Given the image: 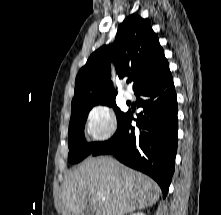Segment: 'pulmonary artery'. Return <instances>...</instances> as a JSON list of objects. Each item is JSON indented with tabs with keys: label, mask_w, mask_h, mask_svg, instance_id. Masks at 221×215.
Wrapping results in <instances>:
<instances>
[{
	"label": "pulmonary artery",
	"mask_w": 221,
	"mask_h": 215,
	"mask_svg": "<svg viewBox=\"0 0 221 215\" xmlns=\"http://www.w3.org/2000/svg\"><path fill=\"white\" fill-rule=\"evenodd\" d=\"M123 96L126 100H131L133 98V95L130 91L126 90L124 93H123Z\"/></svg>",
	"instance_id": "1"
}]
</instances>
